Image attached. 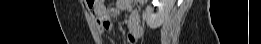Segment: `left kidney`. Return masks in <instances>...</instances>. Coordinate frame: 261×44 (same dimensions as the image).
Instances as JSON below:
<instances>
[{
    "mask_svg": "<svg viewBox=\"0 0 261 44\" xmlns=\"http://www.w3.org/2000/svg\"><path fill=\"white\" fill-rule=\"evenodd\" d=\"M155 1L158 0H153V3H155ZM174 2L175 0H160L156 12L153 11L152 7L148 6L145 13L147 26L151 29L160 27L168 17Z\"/></svg>",
    "mask_w": 261,
    "mask_h": 44,
    "instance_id": "left-kidney-1",
    "label": "left kidney"
}]
</instances>
